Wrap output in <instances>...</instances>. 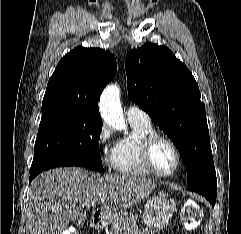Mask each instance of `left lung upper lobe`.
<instances>
[{"label": "left lung upper lobe", "instance_id": "5c2ea615", "mask_svg": "<svg viewBox=\"0 0 241 234\" xmlns=\"http://www.w3.org/2000/svg\"><path fill=\"white\" fill-rule=\"evenodd\" d=\"M130 98L178 148L188 189L216 200L217 178L205 105L188 68L166 47L146 43L125 59Z\"/></svg>", "mask_w": 241, "mask_h": 234}]
</instances>
